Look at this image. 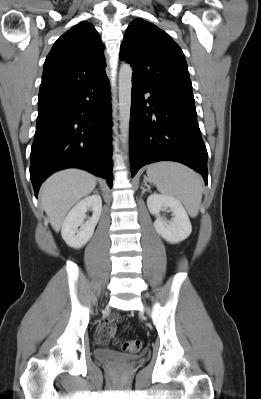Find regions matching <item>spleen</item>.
I'll return each mask as SVG.
<instances>
[{
	"mask_svg": "<svg viewBox=\"0 0 261 399\" xmlns=\"http://www.w3.org/2000/svg\"><path fill=\"white\" fill-rule=\"evenodd\" d=\"M147 176L159 192L177 197L191 217L198 215L203 192L199 174L180 163L163 161L149 165Z\"/></svg>",
	"mask_w": 261,
	"mask_h": 399,
	"instance_id": "obj_1",
	"label": "spleen"
}]
</instances>
